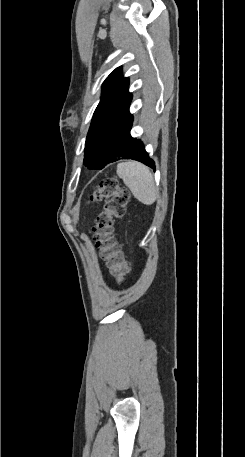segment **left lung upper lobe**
Masks as SVG:
<instances>
[{"mask_svg":"<svg viewBox=\"0 0 245 457\" xmlns=\"http://www.w3.org/2000/svg\"><path fill=\"white\" fill-rule=\"evenodd\" d=\"M128 86V78L122 77L120 67L106 78L103 83L101 100L94 112L89 131L129 112L132 94L129 93Z\"/></svg>","mask_w":245,"mask_h":457,"instance_id":"obj_1","label":"left lung upper lobe"}]
</instances>
